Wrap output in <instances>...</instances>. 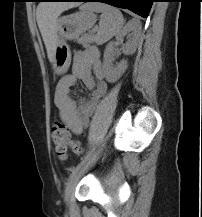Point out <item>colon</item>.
<instances>
[{
	"label": "colon",
	"mask_w": 202,
	"mask_h": 217,
	"mask_svg": "<svg viewBox=\"0 0 202 217\" xmlns=\"http://www.w3.org/2000/svg\"><path fill=\"white\" fill-rule=\"evenodd\" d=\"M51 137L58 157L64 159L67 156L68 149L75 154L81 155L83 148L78 140L70 139L69 131L65 123L56 122L52 126Z\"/></svg>",
	"instance_id": "1"
}]
</instances>
